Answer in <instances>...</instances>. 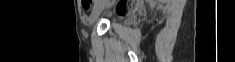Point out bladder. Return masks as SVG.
Returning a JSON list of instances; mask_svg holds the SVG:
<instances>
[{"mask_svg": "<svg viewBox=\"0 0 235 62\" xmlns=\"http://www.w3.org/2000/svg\"><path fill=\"white\" fill-rule=\"evenodd\" d=\"M133 20H134V16L131 15V14H129V15H127V16L125 17L124 23H125V24H130Z\"/></svg>", "mask_w": 235, "mask_h": 62, "instance_id": "bladder-1", "label": "bladder"}]
</instances>
